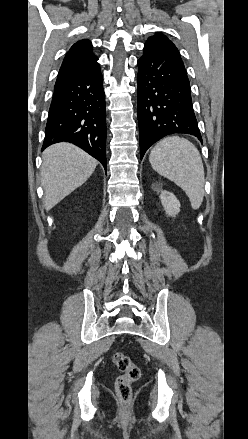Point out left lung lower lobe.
I'll return each instance as SVG.
<instances>
[{"mask_svg":"<svg viewBox=\"0 0 248 439\" xmlns=\"http://www.w3.org/2000/svg\"><path fill=\"white\" fill-rule=\"evenodd\" d=\"M138 66L141 159L151 145L169 134H191L202 142L189 79L179 52L162 44L146 42Z\"/></svg>","mask_w":248,"mask_h":439,"instance_id":"obj_1","label":"left lung lower lobe"}]
</instances>
